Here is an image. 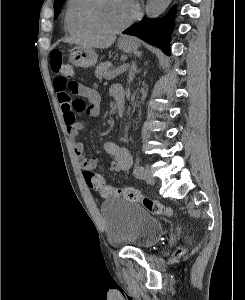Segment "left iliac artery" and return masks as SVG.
Wrapping results in <instances>:
<instances>
[{"mask_svg": "<svg viewBox=\"0 0 245 300\" xmlns=\"http://www.w3.org/2000/svg\"><path fill=\"white\" fill-rule=\"evenodd\" d=\"M143 171L144 168L142 166H137L134 169V175L139 179H143Z\"/></svg>", "mask_w": 245, "mask_h": 300, "instance_id": "1", "label": "left iliac artery"}]
</instances>
